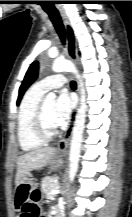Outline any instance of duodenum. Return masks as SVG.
Returning <instances> with one entry per match:
<instances>
[{"instance_id": "410a0bca", "label": "duodenum", "mask_w": 132, "mask_h": 217, "mask_svg": "<svg viewBox=\"0 0 132 217\" xmlns=\"http://www.w3.org/2000/svg\"><path fill=\"white\" fill-rule=\"evenodd\" d=\"M52 217H60L57 213H54Z\"/></svg>"}]
</instances>
